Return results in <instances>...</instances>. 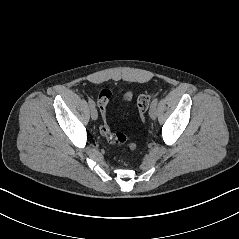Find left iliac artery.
Wrapping results in <instances>:
<instances>
[{
  "label": "left iliac artery",
  "instance_id": "1",
  "mask_svg": "<svg viewBox=\"0 0 239 239\" xmlns=\"http://www.w3.org/2000/svg\"><path fill=\"white\" fill-rule=\"evenodd\" d=\"M158 103V98L155 97L153 100H152V103H151V107H155Z\"/></svg>",
  "mask_w": 239,
  "mask_h": 239
}]
</instances>
